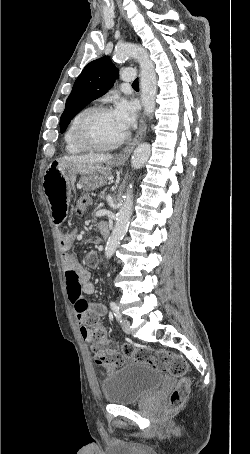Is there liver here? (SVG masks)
Segmentation results:
<instances>
[{"label": "liver", "mask_w": 250, "mask_h": 454, "mask_svg": "<svg viewBox=\"0 0 250 454\" xmlns=\"http://www.w3.org/2000/svg\"><path fill=\"white\" fill-rule=\"evenodd\" d=\"M113 159L111 154H87L71 155L62 157L59 161L76 166L92 165L96 163H106Z\"/></svg>", "instance_id": "liver-1"}]
</instances>
